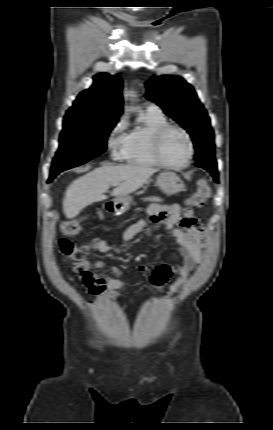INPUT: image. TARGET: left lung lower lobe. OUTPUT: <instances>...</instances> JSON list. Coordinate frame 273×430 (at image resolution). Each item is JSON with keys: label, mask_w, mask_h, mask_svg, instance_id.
<instances>
[{"label": "left lung lower lobe", "mask_w": 273, "mask_h": 430, "mask_svg": "<svg viewBox=\"0 0 273 430\" xmlns=\"http://www.w3.org/2000/svg\"><path fill=\"white\" fill-rule=\"evenodd\" d=\"M196 166L201 167L209 171L214 179L218 181V171H217V163L215 158H205L200 161H197Z\"/></svg>", "instance_id": "left-lung-lower-lobe-1"}]
</instances>
